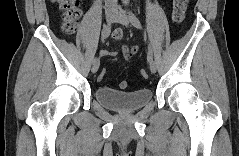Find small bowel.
<instances>
[{
  "mask_svg": "<svg viewBox=\"0 0 239 156\" xmlns=\"http://www.w3.org/2000/svg\"><path fill=\"white\" fill-rule=\"evenodd\" d=\"M114 40L119 41L122 38V31L120 29H117L113 33ZM139 47L132 46L129 47L127 45H123L122 47V55L126 60H130L132 56H134L138 52ZM101 55L103 56H116L117 51L116 50H103L101 52Z\"/></svg>",
  "mask_w": 239,
  "mask_h": 156,
  "instance_id": "small-bowel-1",
  "label": "small bowel"
}]
</instances>
